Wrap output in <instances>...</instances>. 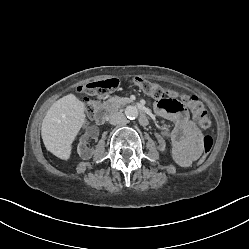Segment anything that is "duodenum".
<instances>
[{
	"label": "duodenum",
	"instance_id": "410a0bca",
	"mask_svg": "<svg viewBox=\"0 0 249 249\" xmlns=\"http://www.w3.org/2000/svg\"><path fill=\"white\" fill-rule=\"evenodd\" d=\"M139 110V122L141 125H147L148 124V118L144 111V109L140 106L137 107ZM108 116V107H100L96 110L95 113V121L97 123H103Z\"/></svg>",
	"mask_w": 249,
	"mask_h": 249
}]
</instances>
